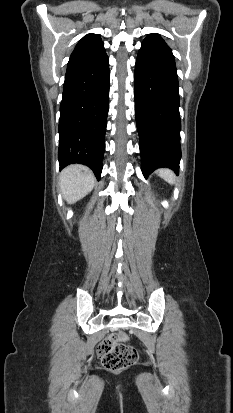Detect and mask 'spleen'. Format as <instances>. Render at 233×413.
Segmentation results:
<instances>
[{
  "instance_id": "obj_1",
  "label": "spleen",
  "mask_w": 233,
  "mask_h": 413,
  "mask_svg": "<svg viewBox=\"0 0 233 413\" xmlns=\"http://www.w3.org/2000/svg\"><path fill=\"white\" fill-rule=\"evenodd\" d=\"M158 174L161 178L167 181L169 184L175 183V174L169 169H159Z\"/></svg>"
}]
</instances>
